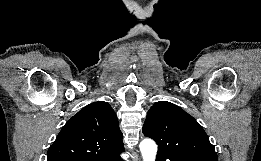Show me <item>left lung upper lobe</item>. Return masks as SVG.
<instances>
[{"instance_id": "1", "label": "left lung upper lobe", "mask_w": 261, "mask_h": 161, "mask_svg": "<svg viewBox=\"0 0 261 161\" xmlns=\"http://www.w3.org/2000/svg\"><path fill=\"white\" fill-rule=\"evenodd\" d=\"M143 134L158 144V152L196 161H218L214 145L200 124L177 105L156 102L149 110Z\"/></svg>"}]
</instances>
